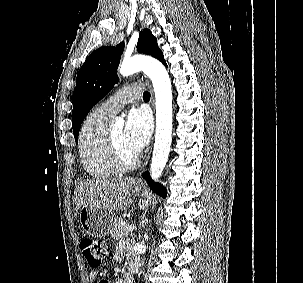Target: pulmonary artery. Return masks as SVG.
I'll list each match as a JSON object with an SVG mask.
<instances>
[{
    "label": "pulmonary artery",
    "mask_w": 303,
    "mask_h": 283,
    "mask_svg": "<svg viewBox=\"0 0 303 283\" xmlns=\"http://www.w3.org/2000/svg\"><path fill=\"white\" fill-rule=\"evenodd\" d=\"M140 95V89L138 86H124L120 88L110 99L102 103L98 108L102 113L112 117L125 104L139 99Z\"/></svg>",
    "instance_id": "e3ab8cb5"
}]
</instances>
